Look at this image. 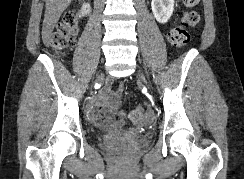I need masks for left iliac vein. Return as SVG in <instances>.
<instances>
[{
    "label": "left iliac vein",
    "instance_id": "obj_1",
    "mask_svg": "<svg viewBox=\"0 0 244 179\" xmlns=\"http://www.w3.org/2000/svg\"><path fill=\"white\" fill-rule=\"evenodd\" d=\"M137 77L139 78V79H143V75H142V73H140L139 71L137 72Z\"/></svg>",
    "mask_w": 244,
    "mask_h": 179
}]
</instances>
